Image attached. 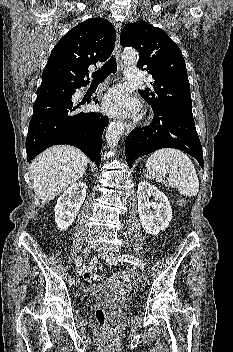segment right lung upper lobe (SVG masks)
<instances>
[{
  "mask_svg": "<svg viewBox=\"0 0 233 352\" xmlns=\"http://www.w3.org/2000/svg\"><path fill=\"white\" fill-rule=\"evenodd\" d=\"M116 31L103 18H91L63 36L52 50L40 87L80 88L89 83L88 67L106 61L115 46Z\"/></svg>",
  "mask_w": 233,
  "mask_h": 352,
  "instance_id": "1",
  "label": "right lung upper lobe"
}]
</instances>
